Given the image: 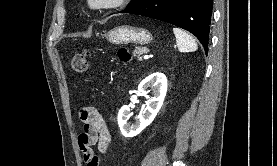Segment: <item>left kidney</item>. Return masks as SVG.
<instances>
[{
	"label": "left kidney",
	"instance_id": "left-kidney-1",
	"mask_svg": "<svg viewBox=\"0 0 277 166\" xmlns=\"http://www.w3.org/2000/svg\"><path fill=\"white\" fill-rule=\"evenodd\" d=\"M167 86L166 76L159 72L149 75L139 84L138 91L147 99L146 108L132 125L128 123L132 114L130 107L123 106L120 109L118 113V124L123 136L134 137L153 122L163 105L167 93ZM148 88H151L152 96L148 95L150 92Z\"/></svg>",
	"mask_w": 277,
	"mask_h": 166
}]
</instances>
